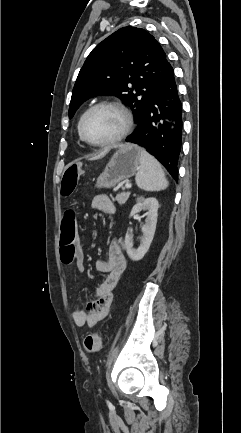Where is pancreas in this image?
I'll list each match as a JSON object with an SVG mask.
<instances>
[{
    "label": "pancreas",
    "mask_w": 241,
    "mask_h": 433,
    "mask_svg": "<svg viewBox=\"0 0 241 433\" xmlns=\"http://www.w3.org/2000/svg\"><path fill=\"white\" fill-rule=\"evenodd\" d=\"M129 196L130 192H122L120 194H117L115 200L118 202L119 205H124L128 200Z\"/></svg>",
    "instance_id": "cf45deb5"
}]
</instances>
